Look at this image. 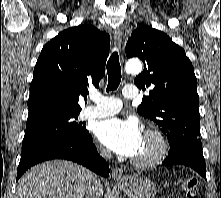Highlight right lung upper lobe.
<instances>
[{"instance_id":"obj_1","label":"right lung upper lobe","mask_w":221,"mask_h":198,"mask_svg":"<svg viewBox=\"0 0 221 198\" xmlns=\"http://www.w3.org/2000/svg\"><path fill=\"white\" fill-rule=\"evenodd\" d=\"M110 36L92 25L62 31L43 47L30 84L27 122L80 112L79 97L99 87L105 74Z\"/></svg>"}]
</instances>
